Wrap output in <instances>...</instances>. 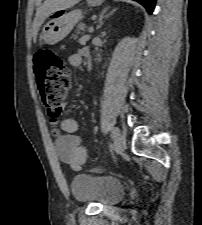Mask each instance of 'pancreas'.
<instances>
[{
	"label": "pancreas",
	"mask_w": 202,
	"mask_h": 225,
	"mask_svg": "<svg viewBox=\"0 0 202 225\" xmlns=\"http://www.w3.org/2000/svg\"><path fill=\"white\" fill-rule=\"evenodd\" d=\"M85 29V25L84 24H79L78 25V30L76 31L77 34H80V30H84ZM73 38H76V35L72 36Z\"/></svg>",
	"instance_id": "pancreas-1"
}]
</instances>
